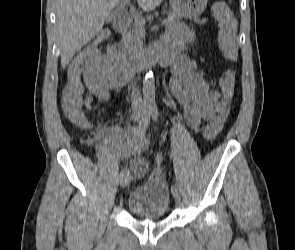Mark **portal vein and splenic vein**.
Wrapping results in <instances>:
<instances>
[{
    "label": "portal vein and splenic vein",
    "instance_id": "portal-vein-and-splenic-vein-1",
    "mask_svg": "<svg viewBox=\"0 0 295 250\" xmlns=\"http://www.w3.org/2000/svg\"><path fill=\"white\" fill-rule=\"evenodd\" d=\"M126 4H130V0H124L122 3H121V7H124ZM134 18L135 20L140 24V25H145V19L140 17V15L138 14H134ZM168 24V20L167 19H163L161 21V25L164 26Z\"/></svg>",
    "mask_w": 295,
    "mask_h": 250
}]
</instances>
